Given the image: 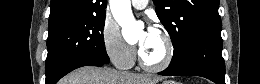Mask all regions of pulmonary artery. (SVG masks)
<instances>
[{
    "mask_svg": "<svg viewBox=\"0 0 260 84\" xmlns=\"http://www.w3.org/2000/svg\"><path fill=\"white\" fill-rule=\"evenodd\" d=\"M132 5L136 9H143V8L146 7L147 1H145V0H133Z\"/></svg>",
    "mask_w": 260,
    "mask_h": 84,
    "instance_id": "1",
    "label": "pulmonary artery"
}]
</instances>
